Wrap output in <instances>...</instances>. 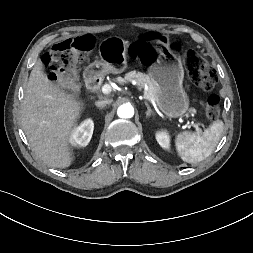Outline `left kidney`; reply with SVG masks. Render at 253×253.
Wrapping results in <instances>:
<instances>
[{
    "label": "left kidney",
    "instance_id": "obj_1",
    "mask_svg": "<svg viewBox=\"0 0 253 253\" xmlns=\"http://www.w3.org/2000/svg\"><path fill=\"white\" fill-rule=\"evenodd\" d=\"M156 140L159 143V145L164 149L170 148V138L167 132L160 131L156 133Z\"/></svg>",
    "mask_w": 253,
    "mask_h": 253
}]
</instances>
